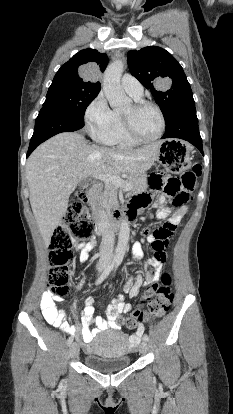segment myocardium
Segmentation results:
<instances>
[{
  "label": "myocardium",
  "instance_id": "f54148a6",
  "mask_svg": "<svg viewBox=\"0 0 233 414\" xmlns=\"http://www.w3.org/2000/svg\"><path fill=\"white\" fill-rule=\"evenodd\" d=\"M133 107L135 110H142L145 108L155 109L158 112L160 119H161V129H160V132L155 137L144 138L136 131L131 117L122 114L121 115L122 124H123L124 130L127 133V135L138 143H152V142L159 140L163 136L166 130V118H165V115L162 109L157 104L150 102V101H136L133 104Z\"/></svg>",
  "mask_w": 233,
  "mask_h": 414
}]
</instances>
